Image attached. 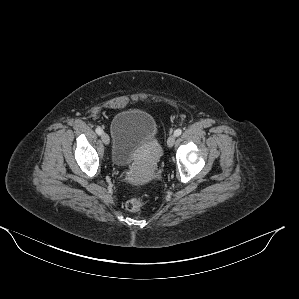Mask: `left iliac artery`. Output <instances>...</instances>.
<instances>
[{"instance_id":"left-iliac-artery-1","label":"left iliac artery","mask_w":299,"mask_h":299,"mask_svg":"<svg viewBox=\"0 0 299 299\" xmlns=\"http://www.w3.org/2000/svg\"><path fill=\"white\" fill-rule=\"evenodd\" d=\"M181 133H182L181 129H177V130L174 131L175 136H179V135H181Z\"/></svg>"}]
</instances>
